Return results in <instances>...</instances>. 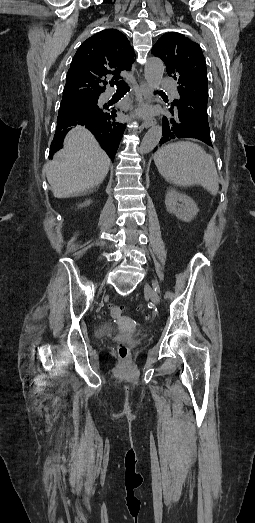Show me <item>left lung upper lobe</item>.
<instances>
[{
  "mask_svg": "<svg viewBox=\"0 0 255 523\" xmlns=\"http://www.w3.org/2000/svg\"><path fill=\"white\" fill-rule=\"evenodd\" d=\"M152 54L164 61L168 75L179 84L177 88L180 98L168 105V109L182 110L180 115H192L189 121H197L200 125L209 126L208 78L206 62L200 46L182 34L170 32L160 37L152 48ZM156 149L157 147L154 151Z\"/></svg>",
  "mask_w": 255,
  "mask_h": 523,
  "instance_id": "5c2ea615",
  "label": "left lung upper lobe"
}]
</instances>
